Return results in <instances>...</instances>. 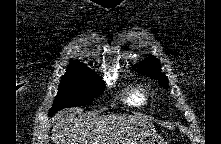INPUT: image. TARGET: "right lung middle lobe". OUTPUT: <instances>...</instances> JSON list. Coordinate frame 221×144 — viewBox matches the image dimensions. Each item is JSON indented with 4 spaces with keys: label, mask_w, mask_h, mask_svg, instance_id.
<instances>
[{
    "label": "right lung middle lobe",
    "mask_w": 221,
    "mask_h": 144,
    "mask_svg": "<svg viewBox=\"0 0 221 144\" xmlns=\"http://www.w3.org/2000/svg\"><path fill=\"white\" fill-rule=\"evenodd\" d=\"M104 88L105 83L91 69L68 68L60 80L58 95L49 110V116L67 107L89 105L102 94Z\"/></svg>",
    "instance_id": "dd1d6c3e"
}]
</instances>
